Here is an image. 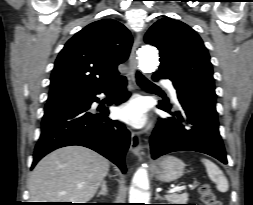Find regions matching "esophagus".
Wrapping results in <instances>:
<instances>
[{
  "instance_id": "1",
  "label": "esophagus",
  "mask_w": 253,
  "mask_h": 205,
  "mask_svg": "<svg viewBox=\"0 0 253 205\" xmlns=\"http://www.w3.org/2000/svg\"><path fill=\"white\" fill-rule=\"evenodd\" d=\"M141 44V36L137 35L129 57V64H130V70H131V78L134 80V73L137 68V50ZM130 151L136 155L140 156L142 152V144H141V138L137 132L131 133V142H130Z\"/></svg>"
}]
</instances>
